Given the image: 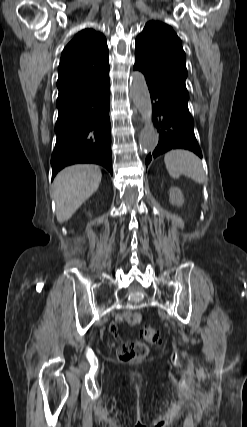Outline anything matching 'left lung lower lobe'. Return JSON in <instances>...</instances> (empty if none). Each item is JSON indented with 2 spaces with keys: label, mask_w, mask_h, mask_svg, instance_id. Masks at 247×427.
Segmentation results:
<instances>
[{
  "label": "left lung lower lobe",
  "mask_w": 247,
  "mask_h": 427,
  "mask_svg": "<svg viewBox=\"0 0 247 427\" xmlns=\"http://www.w3.org/2000/svg\"><path fill=\"white\" fill-rule=\"evenodd\" d=\"M134 69L140 70L135 65ZM145 78L151 99L155 101L152 104V119L159 132L157 147L146 157V168L153 158L176 148L190 150L202 158L193 130L194 121L187 105L188 99L146 75Z\"/></svg>",
  "instance_id": "obj_1"
}]
</instances>
